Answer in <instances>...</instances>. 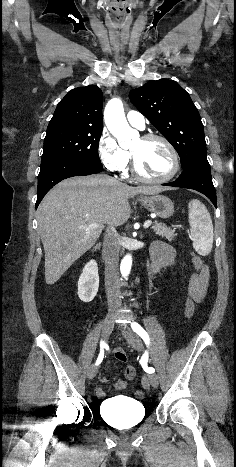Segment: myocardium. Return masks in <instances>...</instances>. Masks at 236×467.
I'll return each mask as SVG.
<instances>
[{
	"label": "myocardium",
	"mask_w": 236,
	"mask_h": 467,
	"mask_svg": "<svg viewBox=\"0 0 236 467\" xmlns=\"http://www.w3.org/2000/svg\"><path fill=\"white\" fill-rule=\"evenodd\" d=\"M141 139L143 141H145V142L153 141V140L161 141L167 147V149L170 152V155L172 157V169L166 176H163V177H160V178L147 177V176L143 175L139 171L138 166H137L136 157L131 152V165H132L131 166V171H132V174L134 175V177L137 178L138 180H140L142 182H146V183H166V182H169L170 180H172L178 174V172L180 170V165H181L178 152L175 149V147L173 146V144L166 137H164L162 135H158V134H145V135H143L141 137Z\"/></svg>",
	"instance_id": "myocardium-1"
}]
</instances>
